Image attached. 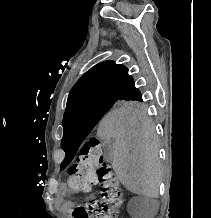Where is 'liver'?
I'll return each mask as SVG.
<instances>
[{
    "label": "liver",
    "mask_w": 211,
    "mask_h": 218,
    "mask_svg": "<svg viewBox=\"0 0 211 218\" xmlns=\"http://www.w3.org/2000/svg\"><path fill=\"white\" fill-rule=\"evenodd\" d=\"M109 144L113 170L121 184L148 198H158L161 166L158 138L144 110L118 108L109 112L97 132Z\"/></svg>",
    "instance_id": "6515ba94"
}]
</instances>
